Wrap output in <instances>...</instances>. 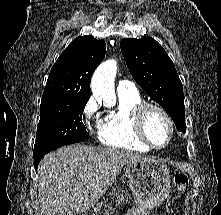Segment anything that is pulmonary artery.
<instances>
[{
  "instance_id": "1",
  "label": "pulmonary artery",
  "mask_w": 221,
  "mask_h": 215,
  "mask_svg": "<svg viewBox=\"0 0 221 215\" xmlns=\"http://www.w3.org/2000/svg\"><path fill=\"white\" fill-rule=\"evenodd\" d=\"M118 93L133 92L136 91L135 85L128 80H119L117 82Z\"/></svg>"
}]
</instances>
